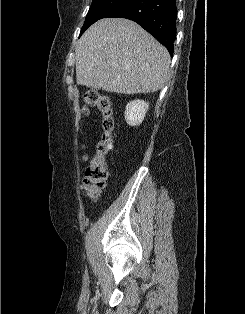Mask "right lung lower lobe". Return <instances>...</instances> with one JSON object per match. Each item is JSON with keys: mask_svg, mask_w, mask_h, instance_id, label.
<instances>
[{"mask_svg": "<svg viewBox=\"0 0 245 314\" xmlns=\"http://www.w3.org/2000/svg\"><path fill=\"white\" fill-rule=\"evenodd\" d=\"M126 18L138 23L173 54L176 36V0H126L104 18Z\"/></svg>", "mask_w": 245, "mask_h": 314, "instance_id": "right-lung-lower-lobe-1", "label": "right lung lower lobe"}]
</instances>
